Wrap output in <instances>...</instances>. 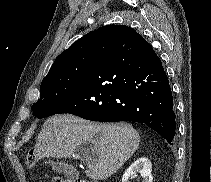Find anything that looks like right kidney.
Instances as JSON below:
<instances>
[{"mask_svg":"<svg viewBox=\"0 0 211 182\" xmlns=\"http://www.w3.org/2000/svg\"><path fill=\"white\" fill-rule=\"evenodd\" d=\"M152 164L146 157L137 159L123 174L122 182H128L129 178L137 173L142 177V182H152Z\"/></svg>","mask_w":211,"mask_h":182,"instance_id":"obj_1","label":"right kidney"}]
</instances>
